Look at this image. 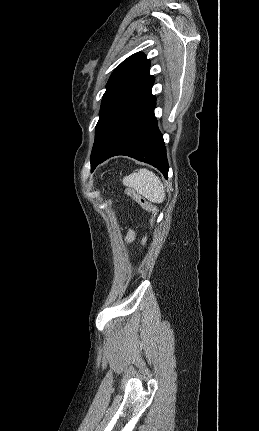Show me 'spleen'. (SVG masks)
Returning <instances> with one entry per match:
<instances>
[{
  "instance_id": "obj_1",
  "label": "spleen",
  "mask_w": 259,
  "mask_h": 431,
  "mask_svg": "<svg viewBox=\"0 0 259 431\" xmlns=\"http://www.w3.org/2000/svg\"><path fill=\"white\" fill-rule=\"evenodd\" d=\"M125 186L131 187L137 193L153 203H162L165 199V190L160 178L152 171L142 168L123 179Z\"/></svg>"
}]
</instances>
